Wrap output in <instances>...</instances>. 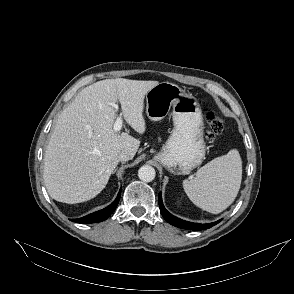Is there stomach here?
<instances>
[{
    "instance_id": "1",
    "label": "stomach",
    "mask_w": 294,
    "mask_h": 294,
    "mask_svg": "<svg viewBox=\"0 0 294 294\" xmlns=\"http://www.w3.org/2000/svg\"><path fill=\"white\" fill-rule=\"evenodd\" d=\"M171 109L174 128L155 160L171 173L188 174L202 163L206 153L197 99L170 82H161L146 93V115L150 120L164 119Z\"/></svg>"
}]
</instances>
